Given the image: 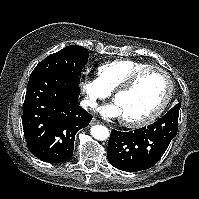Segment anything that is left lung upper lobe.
<instances>
[{
    "instance_id": "obj_1",
    "label": "left lung upper lobe",
    "mask_w": 199,
    "mask_h": 199,
    "mask_svg": "<svg viewBox=\"0 0 199 199\" xmlns=\"http://www.w3.org/2000/svg\"><path fill=\"white\" fill-rule=\"evenodd\" d=\"M175 106H177V107H181V104L180 103H178L177 105H175Z\"/></svg>"
}]
</instances>
